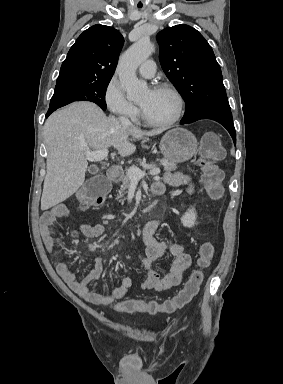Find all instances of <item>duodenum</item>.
I'll use <instances>...</instances> for the list:
<instances>
[{"label": "duodenum", "mask_w": 283, "mask_h": 384, "mask_svg": "<svg viewBox=\"0 0 283 384\" xmlns=\"http://www.w3.org/2000/svg\"><path fill=\"white\" fill-rule=\"evenodd\" d=\"M122 173H123V170L121 167L119 166H116V165H112L109 170H108V173L106 174L107 178L111 181V182H117L120 180L121 176H122ZM106 186V185H105ZM152 193L153 194H156V195H159L162 193V190L161 188L157 185V184H154L152 186Z\"/></svg>", "instance_id": "410a0bca"}]
</instances>
